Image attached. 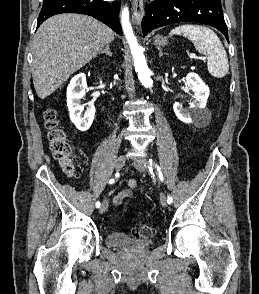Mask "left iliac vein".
<instances>
[{
    "mask_svg": "<svg viewBox=\"0 0 259 294\" xmlns=\"http://www.w3.org/2000/svg\"><path fill=\"white\" fill-rule=\"evenodd\" d=\"M134 166H135V168L138 171H140V172H146L147 166H148V162L145 159L136 160L134 162ZM160 202H161V205L163 207H166L167 206V199H166V197H165V195L163 193H161V195H160Z\"/></svg>",
    "mask_w": 259,
    "mask_h": 294,
    "instance_id": "4c4485c4",
    "label": "left iliac vein"
}]
</instances>
